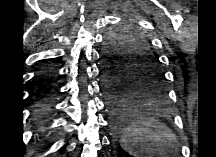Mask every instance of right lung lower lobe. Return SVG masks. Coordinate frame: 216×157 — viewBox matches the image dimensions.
Instances as JSON below:
<instances>
[{
  "mask_svg": "<svg viewBox=\"0 0 216 157\" xmlns=\"http://www.w3.org/2000/svg\"><path fill=\"white\" fill-rule=\"evenodd\" d=\"M54 94V85L51 80L50 72H44L40 75L38 81L36 82V88L34 96L37 101V119L42 125L40 129L44 128V122L51 114V102ZM43 133V132H42Z\"/></svg>",
  "mask_w": 216,
  "mask_h": 157,
  "instance_id": "98d812e1",
  "label": "right lung lower lobe"
}]
</instances>
